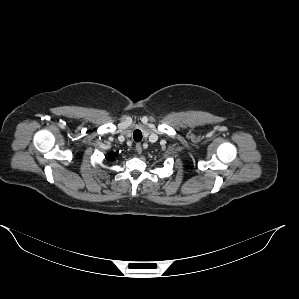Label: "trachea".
Wrapping results in <instances>:
<instances>
[{
    "mask_svg": "<svg viewBox=\"0 0 299 299\" xmlns=\"http://www.w3.org/2000/svg\"><path fill=\"white\" fill-rule=\"evenodd\" d=\"M133 138L136 142H140L142 140V132L139 129H136L133 132Z\"/></svg>",
    "mask_w": 299,
    "mask_h": 299,
    "instance_id": "trachea-1",
    "label": "trachea"
}]
</instances>
